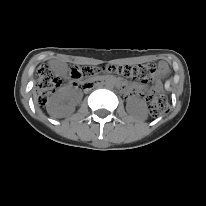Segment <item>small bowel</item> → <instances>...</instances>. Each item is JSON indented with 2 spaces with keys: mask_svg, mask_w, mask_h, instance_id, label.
<instances>
[{
  "mask_svg": "<svg viewBox=\"0 0 206 206\" xmlns=\"http://www.w3.org/2000/svg\"><path fill=\"white\" fill-rule=\"evenodd\" d=\"M168 66L165 62H160L156 75L160 76L167 72Z\"/></svg>",
  "mask_w": 206,
  "mask_h": 206,
  "instance_id": "small-bowel-1",
  "label": "small bowel"
}]
</instances>
